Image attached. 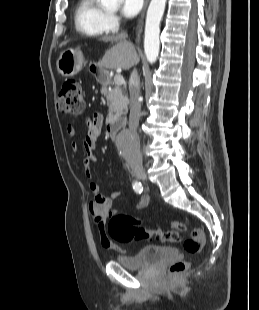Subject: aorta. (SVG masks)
Returning <instances> with one entry per match:
<instances>
[{
	"mask_svg": "<svg viewBox=\"0 0 259 310\" xmlns=\"http://www.w3.org/2000/svg\"><path fill=\"white\" fill-rule=\"evenodd\" d=\"M101 4L111 10H115L118 6L119 0H99ZM166 0H151L148 7L146 23H145V37H144V51L149 63H154L159 55L160 41V22L164 14ZM136 139L129 134H123L120 137V145L122 149L129 150L134 148Z\"/></svg>",
	"mask_w": 259,
	"mask_h": 310,
	"instance_id": "762f6f07",
	"label": "aorta"
}]
</instances>
